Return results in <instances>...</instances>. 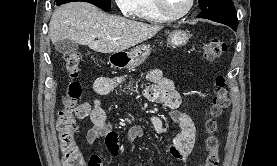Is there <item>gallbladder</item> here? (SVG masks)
<instances>
[{"mask_svg":"<svg viewBox=\"0 0 277 166\" xmlns=\"http://www.w3.org/2000/svg\"><path fill=\"white\" fill-rule=\"evenodd\" d=\"M55 48L58 52L68 55L75 53L79 49L77 43L71 40L64 39L57 41L55 44Z\"/></svg>","mask_w":277,"mask_h":166,"instance_id":"bac80fb5","label":"gallbladder"}]
</instances>
